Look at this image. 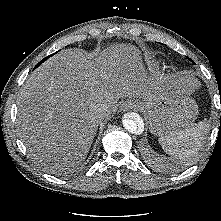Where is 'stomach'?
Listing matches in <instances>:
<instances>
[{"label": "stomach", "instance_id": "obj_1", "mask_svg": "<svg viewBox=\"0 0 221 221\" xmlns=\"http://www.w3.org/2000/svg\"><path fill=\"white\" fill-rule=\"evenodd\" d=\"M151 131L160 136L188 126L196 118L198 107L183 89L160 91L156 105H147Z\"/></svg>", "mask_w": 221, "mask_h": 221}]
</instances>
